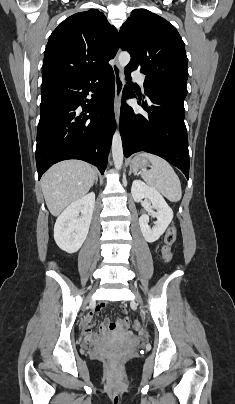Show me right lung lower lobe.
Wrapping results in <instances>:
<instances>
[{
  "mask_svg": "<svg viewBox=\"0 0 235 404\" xmlns=\"http://www.w3.org/2000/svg\"><path fill=\"white\" fill-rule=\"evenodd\" d=\"M93 92L92 99H86ZM112 67L89 76L56 81L41 87L37 129L38 179L53 164L79 159L103 174L115 130Z\"/></svg>",
  "mask_w": 235,
  "mask_h": 404,
  "instance_id": "right-lung-lower-lobe-1",
  "label": "right lung lower lobe"
}]
</instances>
